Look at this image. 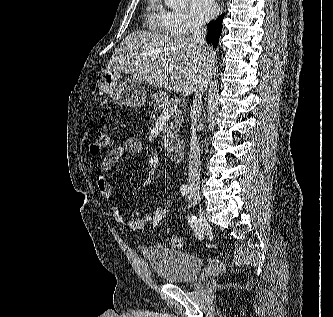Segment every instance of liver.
<instances>
[{
    "label": "liver",
    "instance_id": "6515ba94",
    "mask_svg": "<svg viewBox=\"0 0 333 317\" xmlns=\"http://www.w3.org/2000/svg\"><path fill=\"white\" fill-rule=\"evenodd\" d=\"M214 62L213 51L200 48L189 37L134 31L115 49L105 73L129 74L154 88L189 96L200 78L208 74L211 78Z\"/></svg>",
    "mask_w": 333,
    "mask_h": 317
}]
</instances>
